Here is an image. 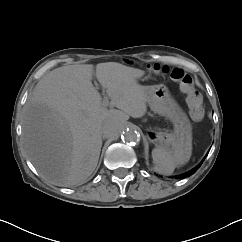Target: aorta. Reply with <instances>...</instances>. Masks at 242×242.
<instances>
[{
    "mask_svg": "<svg viewBox=\"0 0 242 242\" xmlns=\"http://www.w3.org/2000/svg\"><path fill=\"white\" fill-rule=\"evenodd\" d=\"M122 139L125 142L136 143L140 139V134L133 128H128L123 132Z\"/></svg>",
    "mask_w": 242,
    "mask_h": 242,
    "instance_id": "aorta-1",
    "label": "aorta"
}]
</instances>
